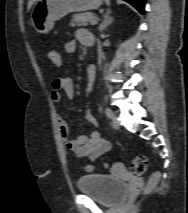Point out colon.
<instances>
[{
  "label": "colon",
  "mask_w": 188,
  "mask_h": 213,
  "mask_svg": "<svg viewBox=\"0 0 188 213\" xmlns=\"http://www.w3.org/2000/svg\"><path fill=\"white\" fill-rule=\"evenodd\" d=\"M47 54L51 60H58L60 55L57 51L52 49L48 50ZM146 167H147V158L145 156H138L134 158L129 165L130 172L134 176L142 175L145 172ZM88 169L91 170L92 168L88 167ZM157 176L158 174L154 173L152 179L154 180L157 179Z\"/></svg>",
  "instance_id": "1"
}]
</instances>
